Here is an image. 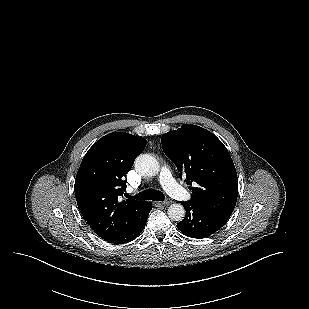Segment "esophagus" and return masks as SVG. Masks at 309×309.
I'll list each match as a JSON object with an SVG mask.
<instances>
[{
    "mask_svg": "<svg viewBox=\"0 0 309 309\" xmlns=\"http://www.w3.org/2000/svg\"><path fill=\"white\" fill-rule=\"evenodd\" d=\"M171 203H172L171 200H165V201L157 202L158 205H169Z\"/></svg>",
    "mask_w": 309,
    "mask_h": 309,
    "instance_id": "34e87169",
    "label": "esophagus"
}]
</instances>
